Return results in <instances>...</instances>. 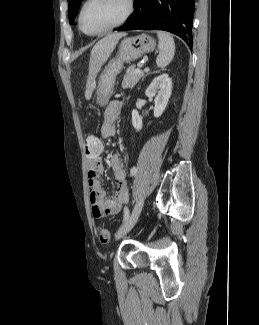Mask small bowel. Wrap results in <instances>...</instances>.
Wrapping results in <instances>:
<instances>
[{
    "instance_id": "c3829d8e",
    "label": "small bowel",
    "mask_w": 259,
    "mask_h": 325,
    "mask_svg": "<svg viewBox=\"0 0 259 325\" xmlns=\"http://www.w3.org/2000/svg\"><path fill=\"white\" fill-rule=\"evenodd\" d=\"M122 106L123 103L119 100L111 101L108 104L101 124V138H109L115 134V124L120 116ZM103 150H96L90 153L86 152L91 212L92 215L98 219L119 213L123 206L129 201V188L126 179L127 173L124 167L123 158L120 154H113L110 158V165L113 170L116 184L114 196L111 198L108 197L107 192L101 186L99 176L103 172V163L100 156Z\"/></svg>"
}]
</instances>
